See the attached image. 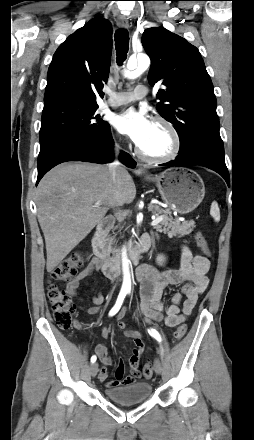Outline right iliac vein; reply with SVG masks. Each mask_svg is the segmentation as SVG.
I'll return each mask as SVG.
<instances>
[{
    "mask_svg": "<svg viewBox=\"0 0 254 440\" xmlns=\"http://www.w3.org/2000/svg\"><path fill=\"white\" fill-rule=\"evenodd\" d=\"M98 373V363H93L90 366V374L92 377H95Z\"/></svg>",
    "mask_w": 254,
    "mask_h": 440,
    "instance_id": "63e3f726",
    "label": "right iliac vein"
}]
</instances>
